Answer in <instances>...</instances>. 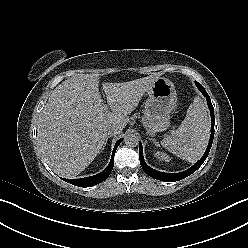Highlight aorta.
Returning <instances> with one entry per match:
<instances>
[{"instance_id": "aorta-1", "label": "aorta", "mask_w": 248, "mask_h": 248, "mask_svg": "<svg viewBox=\"0 0 248 248\" xmlns=\"http://www.w3.org/2000/svg\"><path fill=\"white\" fill-rule=\"evenodd\" d=\"M124 141L127 146L135 147L139 143V136L135 133L130 132L125 136Z\"/></svg>"}]
</instances>
